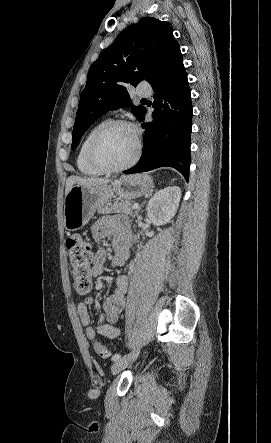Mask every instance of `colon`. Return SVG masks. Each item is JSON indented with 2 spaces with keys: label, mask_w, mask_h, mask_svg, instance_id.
<instances>
[{
  "label": "colon",
  "mask_w": 271,
  "mask_h": 443,
  "mask_svg": "<svg viewBox=\"0 0 271 443\" xmlns=\"http://www.w3.org/2000/svg\"><path fill=\"white\" fill-rule=\"evenodd\" d=\"M71 273L73 278V286L75 291L84 297H89L92 290V269L91 262L93 259V251L91 243L80 236H73L66 243ZM96 353L107 359L110 357V351L96 342L94 344Z\"/></svg>",
  "instance_id": "1"
}]
</instances>
